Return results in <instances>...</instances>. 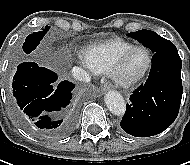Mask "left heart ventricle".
Returning <instances> with one entry per match:
<instances>
[{
	"mask_svg": "<svg viewBox=\"0 0 190 165\" xmlns=\"http://www.w3.org/2000/svg\"><path fill=\"white\" fill-rule=\"evenodd\" d=\"M148 63V54L144 50H136L128 56L123 68L126 78H134L141 74Z\"/></svg>",
	"mask_w": 190,
	"mask_h": 165,
	"instance_id": "1",
	"label": "left heart ventricle"
}]
</instances>
